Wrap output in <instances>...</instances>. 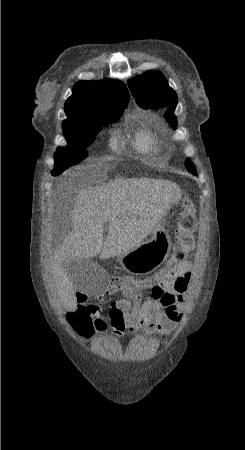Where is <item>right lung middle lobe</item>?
<instances>
[{"mask_svg": "<svg viewBox=\"0 0 245 450\" xmlns=\"http://www.w3.org/2000/svg\"><path fill=\"white\" fill-rule=\"evenodd\" d=\"M122 110L100 104L85 108L63 121V133L68 145L55 153V169L52 175H59L85 159L88 155L86 147L92 143L94 136L106 123L118 120Z\"/></svg>", "mask_w": 245, "mask_h": 450, "instance_id": "1", "label": "right lung middle lobe"}]
</instances>
